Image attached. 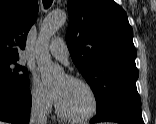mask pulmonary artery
Segmentation results:
<instances>
[{
    "instance_id": "obj_1",
    "label": "pulmonary artery",
    "mask_w": 156,
    "mask_h": 124,
    "mask_svg": "<svg viewBox=\"0 0 156 124\" xmlns=\"http://www.w3.org/2000/svg\"><path fill=\"white\" fill-rule=\"evenodd\" d=\"M48 50L53 57L67 63L69 52L65 42L61 38H55L49 45Z\"/></svg>"
}]
</instances>
